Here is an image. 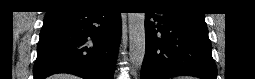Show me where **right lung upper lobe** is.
Here are the masks:
<instances>
[{
  "instance_id": "obj_1",
  "label": "right lung upper lobe",
  "mask_w": 255,
  "mask_h": 79,
  "mask_svg": "<svg viewBox=\"0 0 255 79\" xmlns=\"http://www.w3.org/2000/svg\"><path fill=\"white\" fill-rule=\"evenodd\" d=\"M95 4H90L89 1H76V0H60L54 2V5L51 6L49 12L57 11L65 8H77V7H92Z\"/></svg>"
}]
</instances>
